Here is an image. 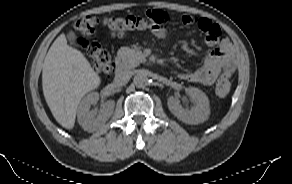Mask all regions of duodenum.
Returning a JSON list of instances; mask_svg holds the SVG:
<instances>
[{
  "instance_id": "duodenum-1",
  "label": "duodenum",
  "mask_w": 292,
  "mask_h": 184,
  "mask_svg": "<svg viewBox=\"0 0 292 184\" xmlns=\"http://www.w3.org/2000/svg\"><path fill=\"white\" fill-rule=\"evenodd\" d=\"M115 67L118 72H121L123 70V61L121 57H116L115 59Z\"/></svg>"
}]
</instances>
